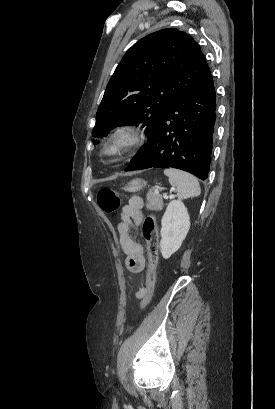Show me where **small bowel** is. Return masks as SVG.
<instances>
[{
    "label": "small bowel",
    "mask_w": 275,
    "mask_h": 409,
    "mask_svg": "<svg viewBox=\"0 0 275 409\" xmlns=\"http://www.w3.org/2000/svg\"><path fill=\"white\" fill-rule=\"evenodd\" d=\"M144 201L140 196H132L123 206L122 219L118 224L119 243L125 254V265L129 272V280L132 275L145 269L146 260L143 245L130 235V230L138 226L143 219ZM142 290L136 291L137 298H141Z\"/></svg>",
    "instance_id": "obj_1"
}]
</instances>
